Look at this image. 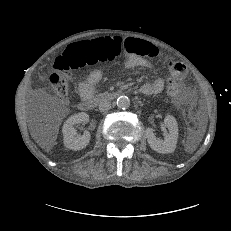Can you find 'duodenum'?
I'll use <instances>...</instances> for the list:
<instances>
[{
  "label": "duodenum",
  "mask_w": 231,
  "mask_h": 231,
  "mask_svg": "<svg viewBox=\"0 0 231 231\" xmlns=\"http://www.w3.org/2000/svg\"><path fill=\"white\" fill-rule=\"evenodd\" d=\"M119 96H120L119 92H107V93L100 94L95 98L92 97L84 98L80 103V107L83 110L90 111L93 110L98 103L104 101H113L116 100Z\"/></svg>",
  "instance_id": "duodenum-1"
}]
</instances>
